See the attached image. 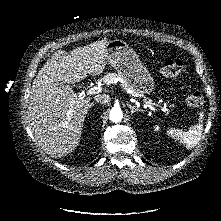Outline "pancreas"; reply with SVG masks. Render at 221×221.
Returning a JSON list of instances; mask_svg holds the SVG:
<instances>
[{"mask_svg":"<svg viewBox=\"0 0 221 221\" xmlns=\"http://www.w3.org/2000/svg\"><path fill=\"white\" fill-rule=\"evenodd\" d=\"M117 79H119V81L121 83L120 85H121L122 88L130 90L128 88V85H127L126 81L119 74H116V73H108L106 76H104L102 78V81L104 82V84L110 85V84L116 83ZM130 92H131L132 95H135V96L139 95L138 93H136L134 91L130 90Z\"/></svg>","mask_w":221,"mask_h":221,"instance_id":"cf45deb5","label":"pancreas"}]
</instances>
